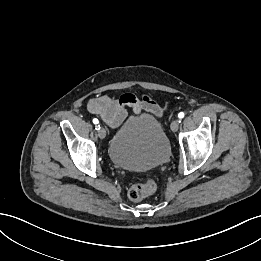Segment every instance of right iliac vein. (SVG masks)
I'll return each instance as SVG.
<instances>
[{
  "instance_id": "63e3f726",
  "label": "right iliac vein",
  "mask_w": 261,
  "mask_h": 261,
  "mask_svg": "<svg viewBox=\"0 0 261 261\" xmlns=\"http://www.w3.org/2000/svg\"><path fill=\"white\" fill-rule=\"evenodd\" d=\"M98 136H99L100 139H104L105 138L106 131H105L104 128L101 127L100 129H98Z\"/></svg>"
}]
</instances>
